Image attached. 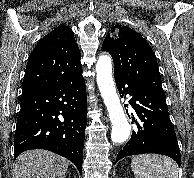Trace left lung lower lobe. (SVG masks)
I'll return each instance as SVG.
<instances>
[{
	"instance_id": "obj_1",
	"label": "left lung lower lobe",
	"mask_w": 194,
	"mask_h": 178,
	"mask_svg": "<svg viewBox=\"0 0 194 178\" xmlns=\"http://www.w3.org/2000/svg\"><path fill=\"white\" fill-rule=\"evenodd\" d=\"M119 93L129 94L137 119L131 139L118 153L116 162L129 155L155 153L167 155L181 164L176 133L171 124L164 90L149 88L115 77ZM126 86V88H125Z\"/></svg>"
}]
</instances>
